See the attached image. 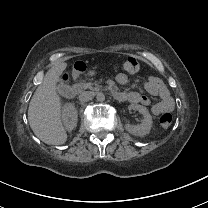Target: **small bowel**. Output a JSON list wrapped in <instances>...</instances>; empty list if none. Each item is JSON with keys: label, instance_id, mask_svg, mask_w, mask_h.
Returning a JSON list of instances; mask_svg holds the SVG:
<instances>
[{"label": "small bowel", "instance_id": "c3829d8e", "mask_svg": "<svg viewBox=\"0 0 208 208\" xmlns=\"http://www.w3.org/2000/svg\"><path fill=\"white\" fill-rule=\"evenodd\" d=\"M119 85H126L128 83V76L120 73L116 77ZM144 89L153 96L160 97V101L152 106V112L155 115L171 112L174 107V102L170 96V92L165 84L157 77L150 76L143 84ZM126 100L131 103H140L142 105H150L151 100L148 96L139 94L135 91H130L125 94Z\"/></svg>", "mask_w": 208, "mask_h": 208}]
</instances>
